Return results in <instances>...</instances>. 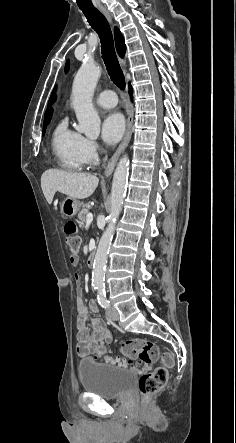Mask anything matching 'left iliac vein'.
I'll return each instance as SVG.
<instances>
[{
  "label": "left iliac vein",
  "mask_w": 236,
  "mask_h": 443,
  "mask_svg": "<svg viewBox=\"0 0 236 443\" xmlns=\"http://www.w3.org/2000/svg\"><path fill=\"white\" fill-rule=\"evenodd\" d=\"M106 316L113 321H117L119 319V313L113 307H109L106 309Z\"/></svg>",
  "instance_id": "left-iliac-vein-1"
}]
</instances>
